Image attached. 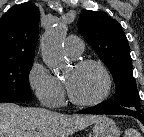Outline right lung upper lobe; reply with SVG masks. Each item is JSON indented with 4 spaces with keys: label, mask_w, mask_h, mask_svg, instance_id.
<instances>
[{
    "label": "right lung upper lobe",
    "mask_w": 144,
    "mask_h": 137,
    "mask_svg": "<svg viewBox=\"0 0 144 137\" xmlns=\"http://www.w3.org/2000/svg\"><path fill=\"white\" fill-rule=\"evenodd\" d=\"M39 10L31 2L12 7L0 19V62L35 55Z\"/></svg>",
    "instance_id": "right-lung-upper-lobe-1"
}]
</instances>
